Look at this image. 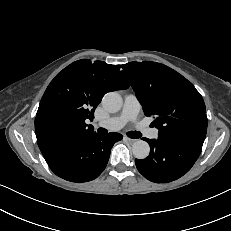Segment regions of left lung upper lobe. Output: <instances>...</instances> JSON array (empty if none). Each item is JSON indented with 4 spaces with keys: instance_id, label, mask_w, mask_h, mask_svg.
<instances>
[{
    "instance_id": "left-lung-upper-lobe-1",
    "label": "left lung upper lobe",
    "mask_w": 231,
    "mask_h": 231,
    "mask_svg": "<svg viewBox=\"0 0 231 231\" xmlns=\"http://www.w3.org/2000/svg\"><path fill=\"white\" fill-rule=\"evenodd\" d=\"M121 74L133 87L159 136L190 135L205 139L207 115L194 85L170 67L151 61L123 64Z\"/></svg>"
}]
</instances>
